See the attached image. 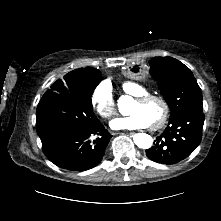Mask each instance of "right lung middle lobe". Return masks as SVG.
<instances>
[{
	"label": "right lung middle lobe",
	"instance_id": "1",
	"mask_svg": "<svg viewBox=\"0 0 221 221\" xmlns=\"http://www.w3.org/2000/svg\"><path fill=\"white\" fill-rule=\"evenodd\" d=\"M100 73L65 83L57 80L47 90L36 110V130L42 145L71 132L94 126L99 120L92 110L91 95Z\"/></svg>",
	"mask_w": 221,
	"mask_h": 221
}]
</instances>
